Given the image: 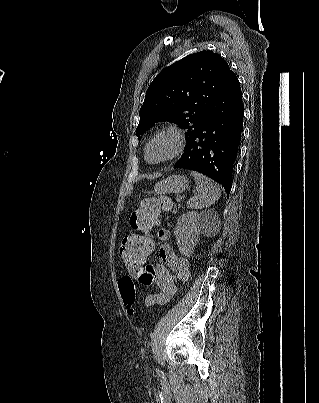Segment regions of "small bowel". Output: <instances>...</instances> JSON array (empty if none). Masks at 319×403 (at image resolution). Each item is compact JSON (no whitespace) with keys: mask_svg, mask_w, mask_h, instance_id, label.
<instances>
[{"mask_svg":"<svg viewBox=\"0 0 319 403\" xmlns=\"http://www.w3.org/2000/svg\"><path fill=\"white\" fill-rule=\"evenodd\" d=\"M170 231L160 229L158 238L163 244L159 248L161 262L151 263L146 271L141 273L138 280L140 286H152L155 282L159 291L148 295L145 299L147 306L164 305L168 303L176 293V282L184 281L189 275V262L184 256L178 255L172 246L166 242L170 239ZM134 238V237H130ZM155 249L152 247V252Z\"/></svg>","mask_w":319,"mask_h":403,"instance_id":"obj_1","label":"small bowel"}]
</instances>
